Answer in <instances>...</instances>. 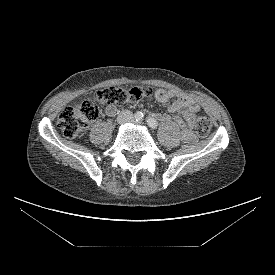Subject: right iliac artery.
Returning <instances> with one entry per match:
<instances>
[{"label": "right iliac artery", "mask_w": 275, "mask_h": 275, "mask_svg": "<svg viewBox=\"0 0 275 275\" xmlns=\"http://www.w3.org/2000/svg\"><path fill=\"white\" fill-rule=\"evenodd\" d=\"M143 117H144V115H143L142 112H137V113L135 114V119H136V121H141V120H143Z\"/></svg>", "instance_id": "right-iliac-artery-1"}]
</instances>
